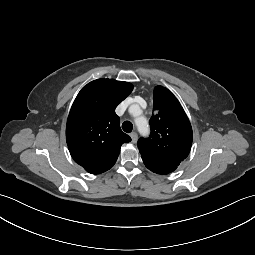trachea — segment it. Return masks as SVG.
I'll return each mask as SVG.
<instances>
[{"label": "trachea", "mask_w": 255, "mask_h": 255, "mask_svg": "<svg viewBox=\"0 0 255 255\" xmlns=\"http://www.w3.org/2000/svg\"><path fill=\"white\" fill-rule=\"evenodd\" d=\"M122 129L126 132V133H130L133 129V124L130 121H125L122 124Z\"/></svg>", "instance_id": "obj_1"}]
</instances>
